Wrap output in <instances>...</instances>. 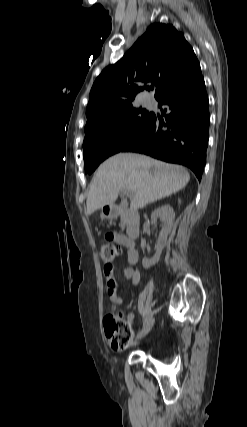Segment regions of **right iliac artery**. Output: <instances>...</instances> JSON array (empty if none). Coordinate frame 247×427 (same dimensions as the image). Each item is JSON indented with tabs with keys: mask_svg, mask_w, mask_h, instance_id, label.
Masks as SVG:
<instances>
[{
	"mask_svg": "<svg viewBox=\"0 0 247 427\" xmlns=\"http://www.w3.org/2000/svg\"><path fill=\"white\" fill-rule=\"evenodd\" d=\"M150 319V315H147L146 318L144 319V323L143 326L147 323V321Z\"/></svg>",
	"mask_w": 247,
	"mask_h": 427,
	"instance_id": "obj_1",
	"label": "right iliac artery"
}]
</instances>
